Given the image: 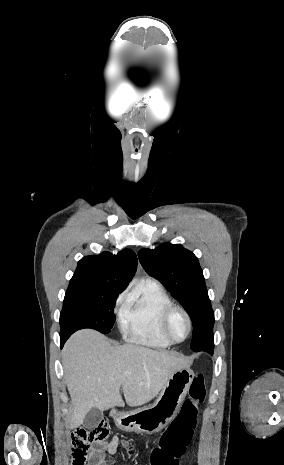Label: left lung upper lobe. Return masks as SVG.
Returning <instances> with one entry per match:
<instances>
[{
  "label": "left lung upper lobe",
  "instance_id": "obj_1",
  "mask_svg": "<svg viewBox=\"0 0 284 465\" xmlns=\"http://www.w3.org/2000/svg\"><path fill=\"white\" fill-rule=\"evenodd\" d=\"M138 257L146 272L158 279L191 317V349L212 355L214 312L197 257L182 245L170 243H164L154 250L141 249Z\"/></svg>",
  "mask_w": 284,
  "mask_h": 465
}]
</instances>
